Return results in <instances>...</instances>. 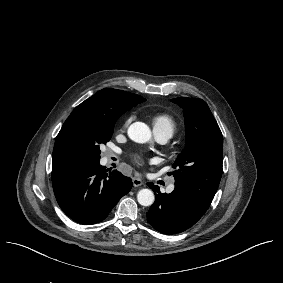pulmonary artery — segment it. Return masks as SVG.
<instances>
[{
    "mask_svg": "<svg viewBox=\"0 0 283 283\" xmlns=\"http://www.w3.org/2000/svg\"><path fill=\"white\" fill-rule=\"evenodd\" d=\"M155 134L160 143H166L168 141V137L166 135L158 134V133H155ZM174 190H175V181L174 179H170L166 187V192L172 193Z\"/></svg>",
    "mask_w": 283,
    "mask_h": 283,
    "instance_id": "obj_1",
    "label": "pulmonary artery"
}]
</instances>
